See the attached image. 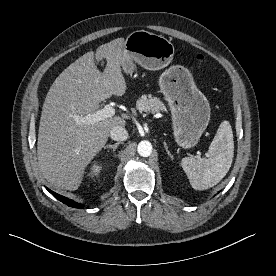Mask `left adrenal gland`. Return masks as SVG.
<instances>
[{"mask_svg":"<svg viewBox=\"0 0 276 276\" xmlns=\"http://www.w3.org/2000/svg\"><path fill=\"white\" fill-rule=\"evenodd\" d=\"M164 148L168 154V156L173 160V155L170 153V151L168 150V146L167 143L164 141Z\"/></svg>","mask_w":276,"mask_h":276,"instance_id":"1","label":"left adrenal gland"}]
</instances>
